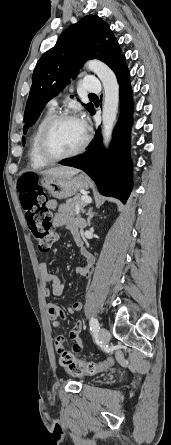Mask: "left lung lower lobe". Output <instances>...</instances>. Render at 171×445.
<instances>
[{"label": "left lung lower lobe", "instance_id": "1", "mask_svg": "<svg viewBox=\"0 0 171 445\" xmlns=\"http://www.w3.org/2000/svg\"><path fill=\"white\" fill-rule=\"evenodd\" d=\"M120 84V118L114 131L110 158L102 145L100 129L87 147V151L77 157L63 159L59 163L85 171L96 183L99 191L106 196H113L126 203L132 190V163L129 158V139L132 126L133 100L126 65L116 72ZM95 114V109L91 112Z\"/></svg>", "mask_w": 171, "mask_h": 445}]
</instances>
